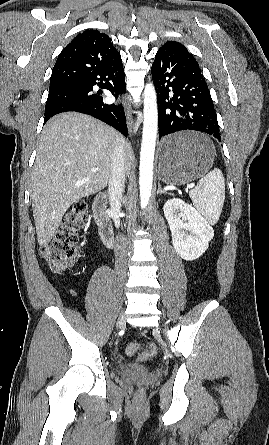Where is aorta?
Listing matches in <instances>:
<instances>
[{"label":"aorta","instance_id":"1","mask_svg":"<svg viewBox=\"0 0 269 445\" xmlns=\"http://www.w3.org/2000/svg\"><path fill=\"white\" fill-rule=\"evenodd\" d=\"M157 130V96L153 84L148 83L144 89V122L139 167L140 205L142 209L148 205L152 192Z\"/></svg>","mask_w":269,"mask_h":445}]
</instances>
